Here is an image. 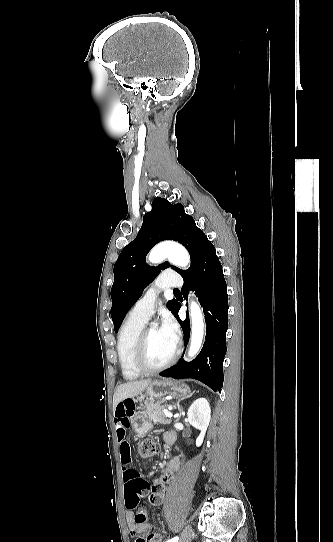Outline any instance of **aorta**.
I'll return each mask as SVG.
<instances>
[{"label": "aorta", "instance_id": "obj_1", "mask_svg": "<svg viewBox=\"0 0 333 542\" xmlns=\"http://www.w3.org/2000/svg\"><path fill=\"white\" fill-rule=\"evenodd\" d=\"M164 258H169V262H172L175 266H180V268H187L188 264H190V256L187 250L183 246H180V244H172V242L170 244H162V246L155 248L149 254V262H153V264L162 262ZM189 310L191 318V340L187 356L188 360H193L202 348L205 326L199 304L191 302Z\"/></svg>", "mask_w": 333, "mask_h": 542}]
</instances>
